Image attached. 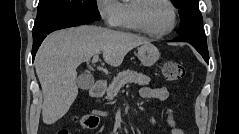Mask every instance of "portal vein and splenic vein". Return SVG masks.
Wrapping results in <instances>:
<instances>
[{
  "label": "portal vein and splenic vein",
  "mask_w": 239,
  "mask_h": 134,
  "mask_svg": "<svg viewBox=\"0 0 239 134\" xmlns=\"http://www.w3.org/2000/svg\"><path fill=\"white\" fill-rule=\"evenodd\" d=\"M98 59H99V55L98 54L94 55L93 59H92V63L93 64L96 63L98 61Z\"/></svg>",
  "instance_id": "18ae733b"
}]
</instances>
